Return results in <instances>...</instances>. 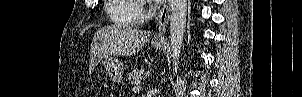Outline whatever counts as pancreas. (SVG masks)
Returning <instances> with one entry per match:
<instances>
[{
	"mask_svg": "<svg viewBox=\"0 0 302 97\" xmlns=\"http://www.w3.org/2000/svg\"><path fill=\"white\" fill-rule=\"evenodd\" d=\"M145 79L143 69H135L128 73V80L131 84H137Z\"/></svg>",
	"mask_w": 302,
	"mask_h": 97,
	"instance_id": "obj_1",
	"label": "pancreas"
}]
</instances>
